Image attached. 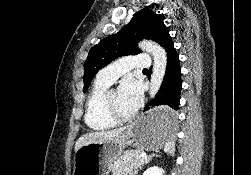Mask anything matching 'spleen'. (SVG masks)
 I'll return each instance as SVG.
<instances>
[{"instance_id": "1", "label": "spleen", "mask_w": 251, "mask_h": 175, "mask_svg": "<svg viewBox=\"0 0 251 175\" xmlns=\"http://www.w3.org/2000/svg\"><path fill=\"white\" fill-rule=\"evenodd\" d=\"M173 139H168L165 141V149L164 151H168V153H174V143H172Z\"/></svg>"}]
</instances>
